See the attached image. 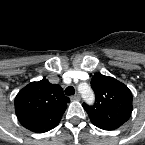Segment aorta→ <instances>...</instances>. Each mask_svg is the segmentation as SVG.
<instances>
[{
    "instance_id": "obj_1",
    "label": "aorta",
    "mask_w": 145,
    "mask_h": 145,
    "mask_svg": "<svg viewBox=\"0 0 145 145\" xmlns=\"http://www.w3.org/2000/svg\"><path fill=\"white\" fill-rule=\"evenodd\" d=\"M81 94L83 99L87 103L92 104L94 102L95 100L94 93L89 85L85 84V88L81 91Z\"/></svg>"
}]
</instances>
